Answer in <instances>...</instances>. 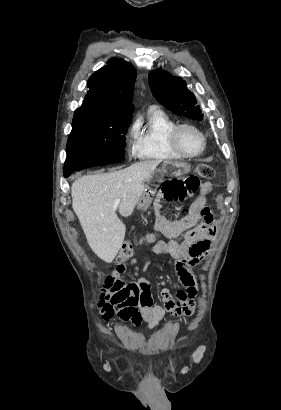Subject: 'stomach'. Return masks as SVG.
Instances as JSON below:
<instances>
[{"label":"stomach","mask_w":281,"mask_h":410,"mask_svg":"<svg viewBox=\"0 0 281 410\" xmlns=\"http://www.w3.org/2000/svg\"><path fill=\"white\" fill-rule=\"evenodd\" d=\"M189 170L190 166L186 163L171 160L164 161L161 167L155 169L147 179L145 189L137 202V208L142 211L147 210L153 201L159 184L163 181L164 175L181 176L188 173Z\"/></svg>","instance_id":"0dacf381"}]
</instances>
